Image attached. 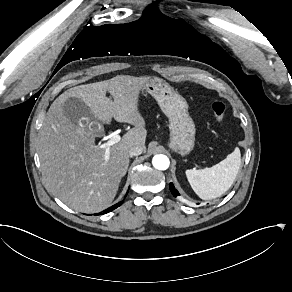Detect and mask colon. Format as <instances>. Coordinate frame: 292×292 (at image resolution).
<instances>
[{"label": "colon", "instance_id": "obj_1", "mask_svg": "<svg viewBox=\"0 0 292 292\" xmlns=\"http://www.w3.org/2000/svg\"><path fill=\"white\" fill-rule=\"evenodd\" d=\"M211 110L215 122L221 126L224 123V118L226 116V105L223 102L216 100L211 103Z\"/></svg>", "mask_w": 292, "mask_h": 292}]
</instances>
